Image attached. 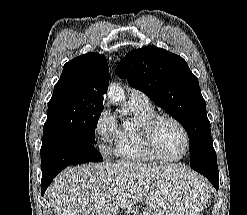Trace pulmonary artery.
Segmentation results:
<instances>
[{"label": "pulmonary artery", "mask_w": 247, "mask_h": 215, "mask_svg": "<svg viewBox=\"0 0 247 215\" xmlns=\"http://www.w3.org/2000/svg\"><path fill=\"white\" fill-rule=\"evenodd\" d=\"M129 103L141 106V107H149L151 106L148 96L139 91V90H132L129 97Z\"/></svg>", "instance_id": "1"}]
</instances>
